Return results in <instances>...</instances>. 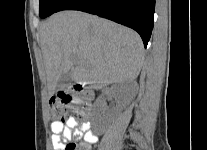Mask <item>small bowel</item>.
Here are the masks:
<instances>
[{
    "label": "small bowel",
    "mask_w": 207,
    "mask_h": 150,
    "mask_svg": "<svg viewBox=\"0 0 207 150\" xmlns=\"http://www.w3.org/2000/svg\"><path fill=\"white\" fill-rule=\"evenodd\" d=\"M52 147L54 150H65L66 146L73 140H79L82 150H91V146L98 141V136L91 131L88 121L77 123L74 117L70 116L65 122L53 121L51 123Z\"/></svg>",
    "instance_id": "obj_1"
}]
</instances>
